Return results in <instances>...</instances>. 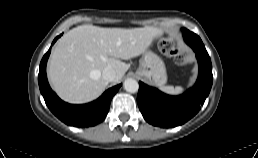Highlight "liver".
Here are the masks:
<instances>
[{"label": "liver", "instance_id": "6515ba94", "mask_svg": "<svg viewBox=\"0 0 258 158\" xmlns=\"http://www.w3.org/2000/svg\"><path fill=\"white\" fill-rule=\"evenodd\" d=\"M161 35L154 27L102 28L81 25L65 33L55 45L47 73L56 93L65 101L86 103L99 97L108 85L102 71L115 70V82L129 69L122 62L143 54Z\"/></svg>", "mask_w": 258, "mask_h": 158}]
</instances>
